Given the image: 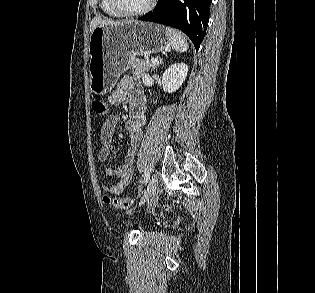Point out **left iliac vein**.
I'll return each instance as SVG.
<instances>
[{"instance_id": "left-iliac-vein-1", "label": "left iliac vein", "mask_w": 315, "mask_h": 293, "mask_svg": "<svg viewBox=\"0 0 315 293\" xmlns=\"http://www.w3.org/2000/svg\"><path fill=\"white\" fill-rule=\"evenodd\" d=\"M157 186H158V175L155 173L153 174V176L151 177L148 183L147 190L142 198L141 204L149 200L156 193Z\"/></svg>"}]
</instances>
